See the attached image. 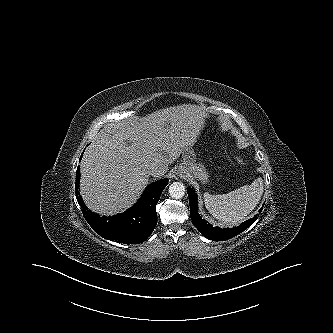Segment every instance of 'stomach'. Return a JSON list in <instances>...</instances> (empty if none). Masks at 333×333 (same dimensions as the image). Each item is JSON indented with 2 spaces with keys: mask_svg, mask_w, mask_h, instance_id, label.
<instances>
[{
  "mask_svg": "<svg viewBox=\"0 0 333 333\" xmlns=\"http://www.w3.org/2000/svg\"><path fill=\"white\" fill-rule=\"evenodd\" d=\"M178 174L180 176H191L201 182H208L209 175L205 166L196 161L194 151L184 153L182 163L179 165Z\"/></svg>",
  "mask_w": 333,
  "mask_h": 333,
  "instance_id": "obj_1",
  "label": "stomach"
}]
</instances>
